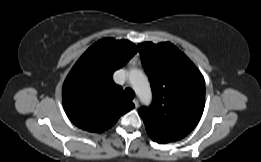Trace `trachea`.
Here are the masks:
<instances>
[{
    "label": "trachea",
    "instance_id": "1",
    "mask_svg": "<svg viewBox=\"0 0 261 162\" xmlns=\"http://www.w3.org/2000/svg\"><path fill=\"white\" fill-rule=\"evenodd\" d=\"M134 96H135V93H134V91H133L132 89H130V88H126V89H125V91H124V97H125L127 100H129V101L133 100V99H134Z\"/></svg>",
    "mask_w": 261,
    "mask_h": 162
}]
</instances>
